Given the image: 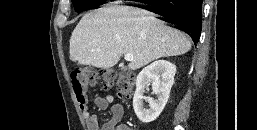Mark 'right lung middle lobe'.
Wrapping results in <instances>:
<instances>
[{
  "label": "right lung middle lobe",
  "mask_w": 257,
  "mask_h": 130,
  "mask_svg": "<svg viewBox=\"0 0 257 130\" xmlns=\"http://www.w3.org/2000/svg\"><path fill=\"white\" fill-rule=\"evenodd\" d=\"M104 2L105 0H72L75 10L78 13L102 5Z\"/></svg>",
  "instance_id": "dd1d6c3e"
}]
</instances>
